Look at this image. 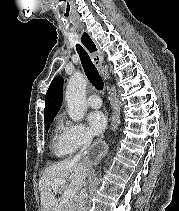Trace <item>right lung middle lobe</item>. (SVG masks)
<instances>
[{"label": "right lung middle lobe", "mask_w": 179, "mask_h": 211, "mask_svg": "<svg viewBox=\"0 0 179 211\" xmlns=\"http://www.w3.org/2000/svg\"><path fill=\"white\" fill-rule=\"evenodd\" d=\"M53 119H54V117H51V118L45 120V128H46V131H48V129L50 127V124L53 121Z\"/></svg>", "instance_id": "obj_1"}]
</instances>
